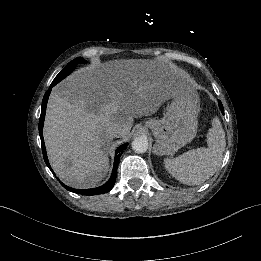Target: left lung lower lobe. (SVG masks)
I'll return each mask as SVG.
<instances>
[{"label": "left lung lower lobe", "instance_id": "1", "mask_svg": "<svg viewBox=\"0 0 261 261\" xmlns=\"http://www.w3.org/2000/svg\"><path fill=\"white\" fill-rule=\"evenodd\" d=\"M218 103H219V107H220L222 113L224 114V109H223V105H222L221 101H218Z\"/></svg>", "mask_w": 261, "mask_h": 261}]
</instances>
